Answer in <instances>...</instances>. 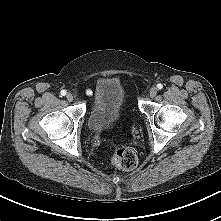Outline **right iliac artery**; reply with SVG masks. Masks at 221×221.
<instances>
[{"label":"right iliac artery","instance_id":"right-iliac-artery-1","mask_svg":"<svg viewBox=\"0 0 221 221\" xmlns=\"http://www.w3.org/2000/svg\"><path fill=\"white\" fill-rule=\"evenodd\" d=\"M61 95H62V96H65V95H66V91H65V90H62V91H61Z\"/></svg>","mask_w":221,"mask_h":221}]
</instances>
